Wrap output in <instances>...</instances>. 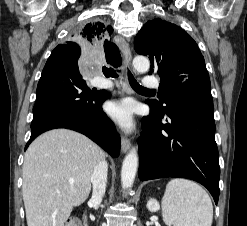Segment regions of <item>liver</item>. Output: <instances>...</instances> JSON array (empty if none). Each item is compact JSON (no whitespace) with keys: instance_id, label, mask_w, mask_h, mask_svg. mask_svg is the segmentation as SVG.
<instances>
[{"instance_id":"6515ba94","label":"liver","mask_w":247,"mask_h":226,"mask_svg":"<svg viewBox=\"0 0 247 226\" xmlns=\"http://www.w3.org/2000/svg\"><path fill=\"white\" fill-rule=\"evenodd\" d=\"M104 153L68 129L40 135L28 147L22 194L28 226H64L73 207L89 196L91 176Z\"/></svg>"}]
</instances>
